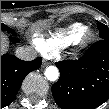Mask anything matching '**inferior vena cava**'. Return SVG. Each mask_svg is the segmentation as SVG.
I'll use <instances>...</instances> for the list:
<instances>
[{"label":"inferior vena cava","mask_w":109,"mask_h":109,"mask_svg":"<svg viewBox=\"0 0 109 109\" xmlns=\"http://www.w3.org/2000/svg\"><path fill=\"white\" fill-rule=\"evenodd\" d=\"M16 56L21 60L31 61L37 57V53L30 46H22V47L17 48Z\"/></svg>","instance_id":"inferior-vena-cava-1"}]
</instances>
